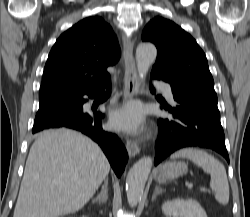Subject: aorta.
<instances>
[{"label": "aorta", "instance_id": "1", "mask_svg": "<svg viewBox=\"0 0 250 217\" xmlns=\"http://www.w3.org/2000/svg\"><path fill=\"white\" fill-rule=\"evenodd\" d=\"M157 57V49L153 44H140L136 49L137 69L141 77L146 76ZM153 165L150 156L141 158L130 169L126 180L127 200L131 206H135L141 200L144 187Z\"/></svg>", "mask_w": 250, "mask_h": 217}]
</instances>
